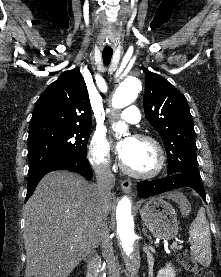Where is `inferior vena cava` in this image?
I'll use <instances>...</instances> for the list:
<instances>
[{"mask_svg":"<svg viewBox=\"0 0 221 277\" xmlns=\"http://www.w3.org/2000/svg\"><path fill=\"white\" fill-rule=\"evenodd\" d=\"M96 181H97V193L99 196V206L102 212L101 220V246L102 254L107 264L109 277H120V273L117 267V262L114 256L113 246L109 239V232L106 222V208L107 201L112 194V189L115 185V177L111 172L109 162H104L94 168Z\"/></svg>","mask_w":221,"mask_h":277,"instance_id":"inferior-vena-cava-1","label":"inferior vena cava"}]
</instances>
